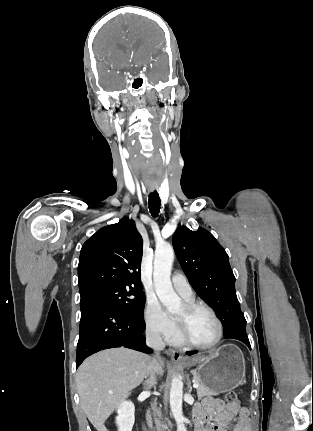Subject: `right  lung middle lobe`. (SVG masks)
Segmentation results:
<instances>
[{"label":"right lung middle lobe","instance_id":"obj_1","mask_svg":"<svg viewBox=\"0 0 313 431\" xmlns=\"http://www.w3.org/2000/svg\"><path fill=\"white\" fill-rule=\"evenodd\" d=\"M145 295L138 287L119 285L103 288L93 294L81 297V310L96 303L108 304L120 308L129 314L142 316Z\"/></svg>","mask_w":313,"mask_h":431}]
</instances>
